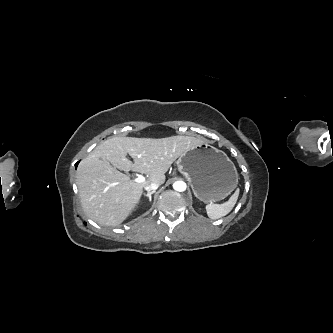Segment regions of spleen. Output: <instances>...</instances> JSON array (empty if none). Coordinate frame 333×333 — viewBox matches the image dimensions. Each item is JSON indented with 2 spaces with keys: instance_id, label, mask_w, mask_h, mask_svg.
<instances>
[{
  "instance_id": "1",
  "label": "spleen",
  "mask_w": 333,
  "mask_h": 333,
  "mask_svg": "<svg viewBox=\"0 0 333 333\" xmlns=\"http://www.w3.org/2000/svg\"><path fill=\"white\" fill-rule=\"evenodd\" d=\"M239 196V189H236L235 193L223 204H213L209 203L206 205V212L209 218L211 219H218L225 215H227L234 205Z\"/></svg>"
}]
</instances>
